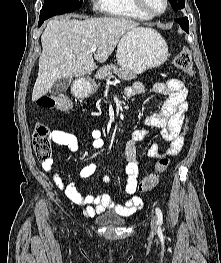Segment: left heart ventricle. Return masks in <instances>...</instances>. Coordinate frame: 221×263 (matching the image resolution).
<instances>
[{"label": "left heart ventricle", "mask_w": 221, "mask_h": 263, "mask_svg": "<svg viewBox=\"0 0 221 263\" xmlns=\"http://www.w3.org/2000/svg\"><path fill=\"white\" fill-rule=\"evenodd\" d=\"M147 8L152 12H160L165 6L164 0H144Z\"/></svg>", "instance_id": "obj_1"}]
</instances>
